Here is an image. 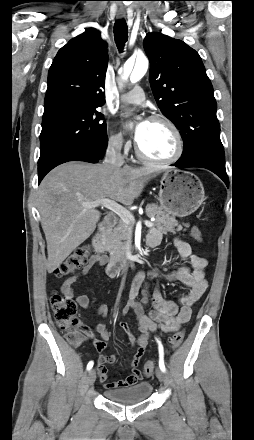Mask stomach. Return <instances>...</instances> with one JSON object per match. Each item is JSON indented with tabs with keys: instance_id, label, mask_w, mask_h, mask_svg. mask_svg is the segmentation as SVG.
<instances>
[{
	"instance_id": "obj_1",
	"label": "stomach",
	"mask_w": 254,
	"mask_h": 440,
	"mask_svg": "<svg viewBox=\"0 0 254 440\" xmlns=\"http://www.w3.org/2000/svg\"><path fill=\"white\" fill-rule=\"evenodd\" d=\"M204 197L202 182L191 172L168 170L160 180L158 200L161 208L172 216L191 215L200 207Z\"/></svg>"
}]
</instances>
